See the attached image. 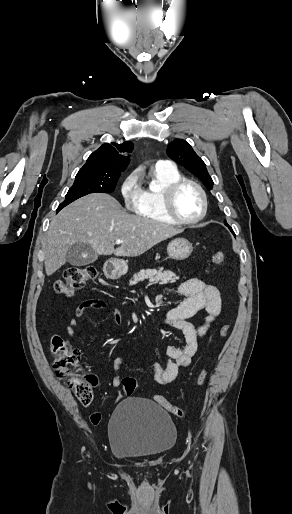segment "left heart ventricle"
Here are the masks:
<instances>
[{"instance_id": "b2bd125f", "label": "left heart ventricle", "mask_w": 292, "mask_h": 514, "mask_svg": "<svg viewBox=\"0 0 292 514\" xmlns=\"http://www.w3.org/2000/svg\"><path fill=\"white\" fill-rule=\"evenodd\" d=\"M174 209L183 220H191L198 216L201 210L200 196L191 186H184L175 195Z\"/></svg>"}]
</instances>
